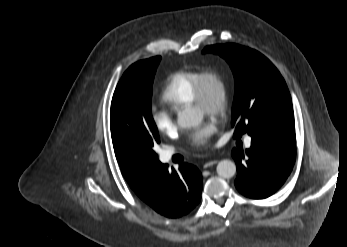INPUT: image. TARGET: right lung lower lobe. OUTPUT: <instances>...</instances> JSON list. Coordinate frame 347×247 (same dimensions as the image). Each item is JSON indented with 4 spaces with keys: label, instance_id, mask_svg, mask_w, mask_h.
Returning a JSON list of instances; mask_svg holds the SVG:
<instances>
[{
    "label": "right lung lower lobe",
    "instance_id": "right-lung-lower-lobe-1",
    "mask_svg": "<svg viewBox=\"0 0 347 247\" xmlns=\"http://www.w3.org/2000/svg\"><path fill=\"white\" fill-rule=\"evenodd\" d=\"M158 168L151 193L140 198L166 217L176 218L188 214L201 200V173L187 163L180 164L178 170L170 169L162 163Z\"/></svg>",
    "mask_w": 347,
    "mask_h": 247
}]
</instances>
